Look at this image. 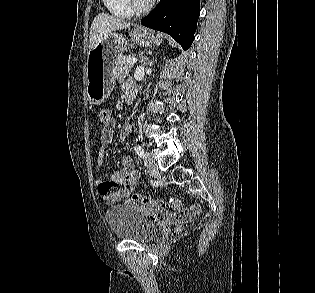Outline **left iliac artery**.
Returning a JSON list of instances; mask_svg holds the SVG:
<instances>
[{"mask_svg": "<svg viewBox=\"0 0 315 293\" xmlns=\"http://www.w3.org/2000/svg\"><path fill=\"white\" fill-rule=\"evenodd\" d=\"M134 150L136 152V154L141 157V158H144L145 157V154H144V150L143 148L139 145V144H136L134 146Z\"/></svg>", "mask_w": 315, "mask_h": 293, "instance_id": "obj_1", "label": "left iliac artery"}]
</instances>
